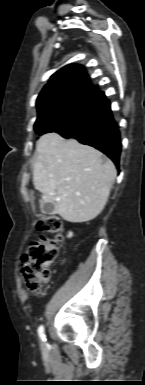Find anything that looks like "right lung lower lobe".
Here are the masks:
<instances>
[{
	"mask_svg": "<svg viewBox=\"0 0 145 385\" xmlns=\"http://www.w3.org/2000/svg\"><path fill=\"white\" fill-rule=\"evenodd\" d=\"M57 133L64 138H74L82 144L95 147L119 167L120 133L104 93L90 108Z\"/></svg>",
	"mask_w": 145,
	"mask_h": 385,
	"instance_id": "obj_1",
	"label": "right lung lower lobe"
}]
</instances>
